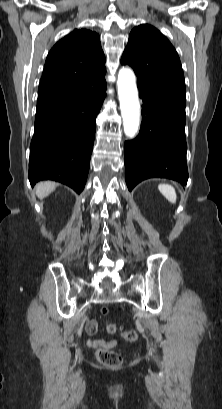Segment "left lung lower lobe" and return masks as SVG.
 I'll list each match as a JSON object with an SVG mask.
<instances>
[{
  "label": "left lung lower lobe",
  "mask_w": 222,
  "mask_h": 409,
  "mask_svg": "<svg viewBox=\"0 0 222 409\" xmlns=\"http://www.w3.org/2000/svg\"><path fill=\"white\" fill-rule=\"evenodd\" d=\"M139 96L143 100L141 129L124 146L128 189L131 191L139 182L152 177L186 185L185 102L144 90H139Z\"/></svg>",
  "instance_id": "1"
}]
</instances>
